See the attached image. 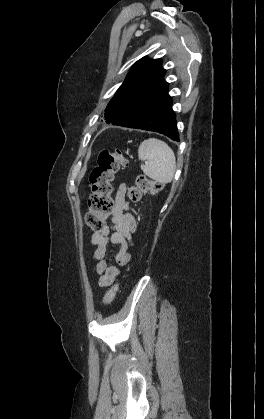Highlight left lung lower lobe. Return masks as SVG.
Instances as JSON below:
<instances>
[{
    "mask_svg": "<svg viewBox=\"0 0 264 419\" xmlns=\"http://www.w3.org/2000/svg\"><path fill=\"white\" fill-rule=\"evenodd\" d=\"M167 82L149 86L142 95L119 115L106 118L112 125L158 132L179 141L172 100Z\"/></svg>",
    "mask_w": 264,
    "mask_h": 419,
    "instance_id": "1",
    "label": "left lung lower lobe"
}]
</instances>
